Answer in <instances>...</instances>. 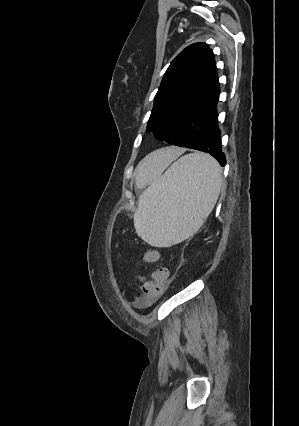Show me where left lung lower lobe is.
<instances>
[{
  "instance_id": "obj_1",
  "label": "left lung lower lobe",
  "mask_w": 299,
  "mask_h": 426,
  "mask_svg": "<svg viewBox=\"0 0 299 426\" xmlns=\"http://www.w3.org/2000/svg\"><path fill=\"white\" fill-rule=\"evenodd\" d=\"M218 100L219 92L193 114L171 144L208 152L221 166H225L226 159L221 149L220 130L217 126Z\"/></svg>"
}]
</instances>
